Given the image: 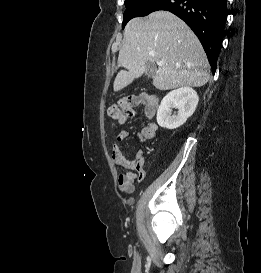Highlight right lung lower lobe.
I'll use <instances>...</instances> for the list:
<instances>
[{
    "label": "right lung lower lobe",
    "mask_w": 261,
    "mask_h": 273,
    "mask_svg": "<svg viewBox=\"0 0 261 273\" xmlns=\"http://www.w3.org/2000/svg\"><path fill=\"white\" fill-rule=\"evenodd\" d=\"M167 10L181 18L197 35L216 70L227 17V0H152L139 7L141 16Z\"/></svg>",
    "instance_id": "98d812e1"
}]
</instances>
